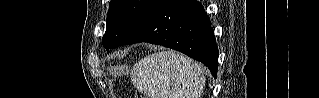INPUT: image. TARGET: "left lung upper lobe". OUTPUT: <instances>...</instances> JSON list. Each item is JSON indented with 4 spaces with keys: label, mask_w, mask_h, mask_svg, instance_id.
Instances as JSON below:
<instances>
[{
    "label": "left lung upper lobe",
    "mask_w": 319,
    "mask_h": 98,
    "mask_svg": "<svg viewBox=\"0 0 319 98\" xmlns=\"http://www.w3.org/2000/svg\"><path fill=\"white\" fill-rule=\"evenodd\" d=\"M157 0H112L107 28L102 38L105 48L124 44L142 25Z\"/></svg>",
    "instance_id": "obj_1"
}]
</instances>
